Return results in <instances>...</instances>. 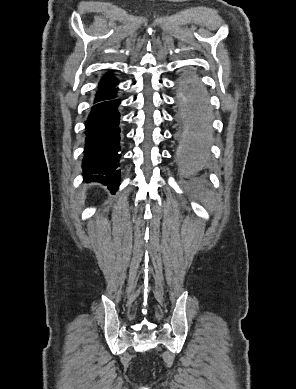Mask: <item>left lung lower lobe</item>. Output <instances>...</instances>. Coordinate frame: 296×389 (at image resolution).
<instances>
[{"label": "left lung lower lobe", "instance_id": "left-lung-lower-lobe-1", "mask_svg": "<svg viewBox=\"0 0 296 389\" xmlns=\"http://www.w3.org/2000/svg\"><path fill=\"white\" fill-rule=\"evenodd\" d=\"M187 93V112L195 117V120L191 124L201 132L206 133L208 124L206 116L208 102L206 96L200 86L191 87ZM187 140V154L184 160L191 166H199L206 158L207 143L200 136Z\"/></svg>", "mask_w": 296, "mask_h": 389}]
</instances>
